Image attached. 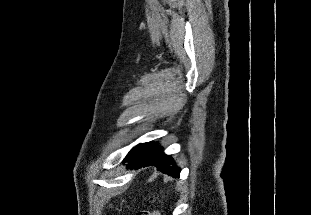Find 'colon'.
Returning <instances> with one entry per match:
<instances>
[{
	"label": "colon",
	"mask_w": 311,
	"mask_h": 215,
	"mask_svg": "<svg viewBox=\"0 0 311 215\" xmlns=\"http://www.w3.org/2000/svg\"><path fill=\"white\" fill-rule=\"evenodd\" d=\"M136 215H161V214L156 211H140Z\"/></svg>",
	"instance_id": "colon-1"
}]
</instances>
